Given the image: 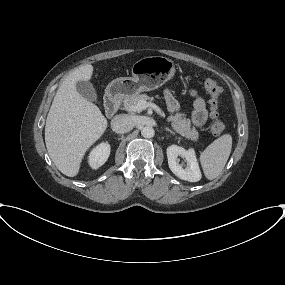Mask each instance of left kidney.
<instances>
[{
  "label": "left kidney",
  "mask_w": 285,
  "mask_h": 285,
  "mask_svg": "<svg viewBox=\"0 0 285 285\" xmlns=\"http://www.w3.org/2000/svg\"><path fill=\"white\" fill-rule=\"evenodd\" d=\"M166 153L169 168L178 178L189 182L201 179V171L193 148L186 150L173 144L167 148ZM179 156L187 162L185 168L179 163Z\"/></svg>",
  "instance_id": "left-kidney-1"
}]
</instances>
